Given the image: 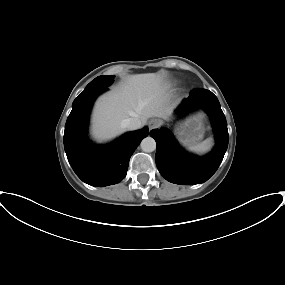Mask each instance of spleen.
<instances>
[{
    "label": "spleen",
    "instance_id": "3e777b00",
    "mask_svg": "<svg viewBox=\"0 0 285 285\" xmlns=\"http://www.w3.org/2000/svg\"><path fill=\"white\" fill-rule=\"evenodd\" d=\"M211 146H212V139L208 138L197 145L190 146L188 150L194 153L204 154L210 150Z\"/></svg>",
    "mask_w": 285,
    "mask_h": 285
}]
</instances>
